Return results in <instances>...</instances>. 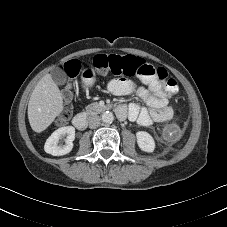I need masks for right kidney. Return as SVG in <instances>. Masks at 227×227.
Masks as SVG:
<instances>
[{"label": "right kidney", "instance_id": "right-kidney-1", "mask_svg": "<svg viewBox=\"0 0 227 227\" xmlns=\"http://www.w3.org/2000/svg\"><path fill=\"white\" fill-rule=\"evenodd\" d=\"M66 137L64 145H58L59 140ZM75 139V128L73 126L61 127L54 131L46 140L44 150L53 156H62L71 152Z\"/></svg>", "mask_w": 227, "mask_h": 227}]
</instances>
